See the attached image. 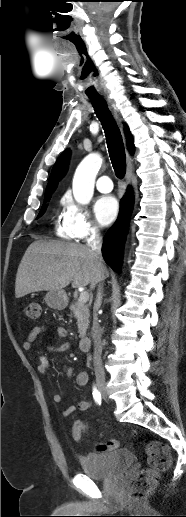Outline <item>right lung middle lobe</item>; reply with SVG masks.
Here are the masks:
<instances>
[{
  "label": "right lung middle lobe",
  "mask_w": 186,
  "mask_h": 517,
  "mask_svg": "<svg viewBox=\"0 0 186 517\" xmlns=\"http://www.w3.org/2000/svg\"><path fill=\"white\" fill-rule=\"evenodd\" d=\"M52 193H53V192H49V193L45 194V199H44V201H45V202H48V201H49V199H50V197H51V194H52ZM46 207H47V205H46V204H43L42 209H41V211L39 212V214H38L37 218H39V217H40V216L45 212Z\"/></svg>",
  "instance_id": "1"
}]
</instances>
